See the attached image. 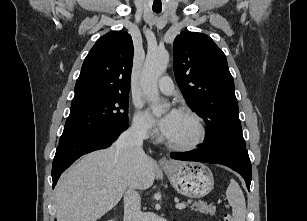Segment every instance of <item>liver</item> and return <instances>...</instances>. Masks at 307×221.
<instances>
[{"instance_id": "liver-1", "label": "liver", "mask_w": 307, "mask_h": 221, "mask_svg": "<svg viewBox=\"0 0 307 221\" xmlns=\"http://www.w3.org/2000/svg\"><path fill=\"white\" fill-rule=\"evenodd\" d=\"M155 170L148 156L137 164L116 145L85 155L57 183V221H97L116 206L128 187H151Z\"/></svg>"}]
</instances>
